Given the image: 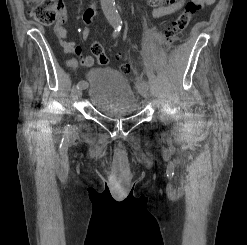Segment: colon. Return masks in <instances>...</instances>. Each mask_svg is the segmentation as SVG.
Wrapping results in <instances>:
<instances>
[{
    "instance_id": "5ec220e1",
    "label": "colon",
    "mask_w": 247,
    "mask_h": 245,
    "mask_svg": "<svg viewBox=\"0 0 247 245\" xmlns=\"http://www.w3.org/2000/svg\"><path fill=\"white\" fill-rule=\"evenodd\" d=\"M30 6L31 16L39 23L49 26L54 24L59 18L60 0H26ZM201 5L197 0L189 1L181 13L175 17L166 29L164 34L165 42H171L189 24L193 15L200 9ZM92 53L97 57L98 63L106 66L109 63L108 57L103 54L101 45L94 42L91 46ZM121 71L130 73L128 64L121 65Z\"/></svg>"
}]
</instances>
